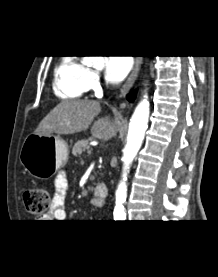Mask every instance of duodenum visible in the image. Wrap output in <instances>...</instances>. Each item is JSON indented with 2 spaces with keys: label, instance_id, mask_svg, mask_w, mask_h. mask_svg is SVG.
Masks as SVG:
<instances>
[{
  "label": "duodenum",
  "instance_id": "duodenum-1",
  "mask_svg": "<svg viewBox=\"0 0 218 277\" xmlns=\"http://www.w3.org/2000/svg\"><path fill=\"white\" fill-rule=\"evenodd\" d=\"M108 195V187L99 183L94 188L95 204L101 205Z\"/></svg>",
  "mask_w": 218,
  "mask_h": 277
}]
</instances>
